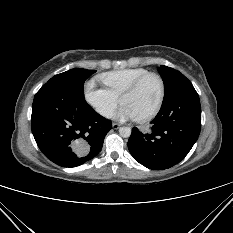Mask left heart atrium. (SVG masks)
I'll return each instance as SVG.
<instances>
[{
	"label": "left heart atrium",
	"instance_id": "obj_1",
	"mask_svg": "<svg viewBox=\"0 0 233 233\" xmlns=\"http://www.w3.org/2000/svg\"><path fill=\"white\" fill-rule=\"evenodd\" d=\"M114 117L121 120H135L137 118L133 110L125 104H122L114 113Z\"/></svg>",
	"mask_w": 233,
	"mask_h": 233
}]
</instances>
